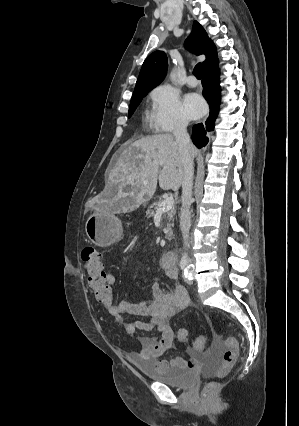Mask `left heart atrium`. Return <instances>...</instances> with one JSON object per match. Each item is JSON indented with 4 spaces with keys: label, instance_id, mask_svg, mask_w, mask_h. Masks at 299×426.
I'll return each instance as SVG.
<instances>
[{
    "label": "left heart atrium",
    "instance_id": "1",
    "mask_svg": "<svg viewBox=\"0 0 299 426\" xmlns=\"http://www.w3.org/2000/svg\"><path fill=\"white\" fill-rule=\"evenodd\" d=\"M185 110L191 119L199 118L205 112L206 106L203 99L196 93H189L184 100Z\"/></svg>",
    "mask_w": 299,
    "mask_h": 426
}]
</instances>
